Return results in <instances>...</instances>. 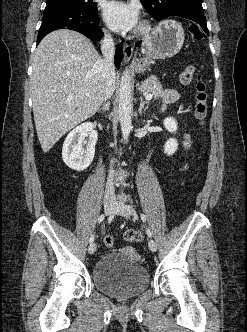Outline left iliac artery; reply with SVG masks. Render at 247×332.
Segmentation results:
<instances>
[{"label":"left iliac artery","mask_w":247,"mask_h":332,"mask_svg":"<svg viewBox=\"0 0 247 332\" xmlns=\"http://www.w3.org/2000/svg\"><path fill=\"white\" fill-rule=\"evenodd\" d=\"M141 219H142L143 222L146 221V217H145L144 214H141ZM146 233H147V235H148L149 237H152V232L150 231L149 228H146Z\"/></svg>","instance_id":"1"}]
</instances>
